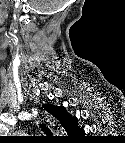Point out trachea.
Here are the masks:
<instances>
[{
    "label": "trachea",
    "instance_id": "3493384b",
    "mask_svg": "<svg viewBox=\"0 0 125 143\" xmlns=\"http://www.w3.org/2000/svg\"><path fill=\"white\" fill-rule=\"evenodd\" d=\"M42 129L45 130L46 132H50V130L43 124L41 125Z\"/></svg>",
    "mask_w": 125,
    "mask_h": 143
}]
</instances>
